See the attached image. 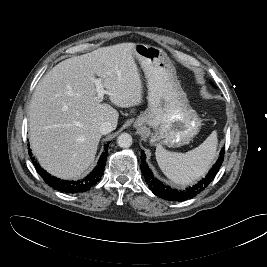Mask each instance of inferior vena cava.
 Listing matches in <instances>:
<instances>
[{
	"label": "inferior vena cava",
	"mask_w": 267,
	"mask_h": 267,
	"mask_svg": "<svg viewBox=\"0 0 267 267\" xmlns=\"http://www.w3.org/2000/svg\"><path fill=\"white\" fill-rule=\"evenodd\" d=\"M113 130H114V127L110 122H103L100 125V128H99V132L102 135H106V134L110 133Z\"/></svg>",
	"instance_id": "1"
}]
</instances>
